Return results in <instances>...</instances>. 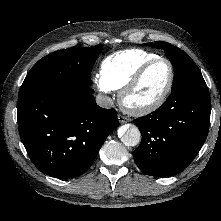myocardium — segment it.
<instances>
[{
    "label": "myocardium",
    "mask_w": 221,
    "mask_h": 221,
    "mask_svg": "<svg viewBox=\"0 0 221 221\" xmlns=\"http://www.w3.org/2000/svg\"><path fill=\"white\" fill-rule=\"evenodd\" d=\"M165 62L169 66V79L161 94L152 102L144 105H130L127 102L128 96L138 86L147 71L156 63ZM175 78L174 66L171 61L164 57H156L143 64L131 77V79L124 85L119 94V101L124 110L134 115H145L158 109L166 100L171 92Z\"/></svg>",
    "instance_id": "myocardium-1"
}]
</instances>
